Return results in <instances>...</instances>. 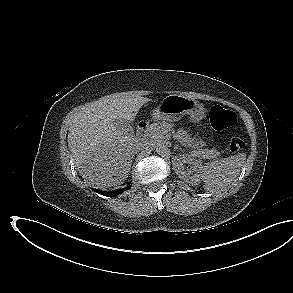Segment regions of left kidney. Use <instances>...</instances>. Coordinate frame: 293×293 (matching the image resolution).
<instances>
[{
	"mask_svg": "<svg viewBox=\"0 0 293 293\" xmlns=\"http://www.w3.org/2000/svg\"><path fill=\"white\" fill-rule=\"evenodd\" d=\"M185 164L191 166V169L185 171ZM173 168L176 174L188 183H195L199 181V176L204 166L200 160H196L192 155H176L172 160Z\"/></svg>",
	"mask_w": 293,
	"mask_h": 293,
	"instance_id": "left-kidney-1",
	"label": "left kidney"
}]
</instances>
